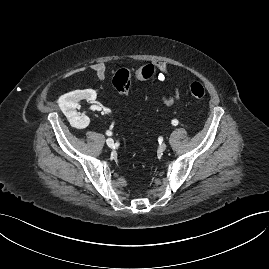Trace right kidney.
<instances>
[{
    "instance_id": "1",
    "label": "right kidney",
    "mask_w": 269,
    "mask_h": 269,
    "mask_svg": "<svg viewBox=\"0 0 269 269\" xmlns=\"http://www.w3.org/2000/svg\"><path fill=\"white\" fill-rule=\"evenodd\" d=\"M96 96V92L92 89L75 90L62 95L58 100V104L70 122H77L81 127H86L90 122L89 118L87 116H79L75 109L80 107L79 102L81 100L86 99L93 103Z\"/></svg>"
}]
</instances>
